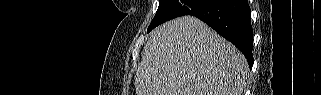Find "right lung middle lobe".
I'll return each mask as SVG.
<instances>
[{
	"label": "right lung middle lobe",
	"mask_w": 321,
	"mask_h": 95,
	"mask_svg": "<svg viewBox=\"0 0 321 95\" xmlns=\"http://www.w3.org/2000/svg\"><path fill=\"white\" fill-rule=\"evenodd\" d=\"M209 1L210 0H159V7L147 32H150L156 26L170 19L193 13Z\"/></svg>",
	"instance_id": "1"
}]
</instances>
